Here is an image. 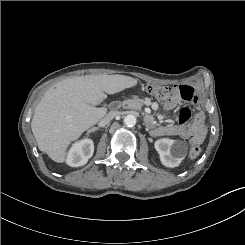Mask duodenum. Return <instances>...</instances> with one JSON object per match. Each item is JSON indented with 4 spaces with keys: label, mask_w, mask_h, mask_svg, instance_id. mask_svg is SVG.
Here are the masks:
<instances>
[{
    "label": "duodenum",
    "mask_w": 245,
    "mask_h": 245,
    "mask_svg": "<svg viewBox=\"0 0 245 245\" xmlns=\"http://www.w3.org/2000/svg\"><path fill=\"white\" fill-rule=\"evenodd\" d=\"M117 107H118V103L117 102H113V103L110 104V108L111 109H116ZM145 122H146L147 125H150V124L153 123V120H152L151 117L147 116V117H145Z\"/></svg>",
    "instance_id": "1"
}]
</instances>
